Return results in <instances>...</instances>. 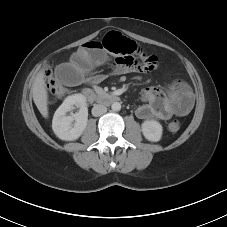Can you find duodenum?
<instances>
[{"label": "duodenum", "instance_id": "1", "mask_svg": "<svg viewBox=\"0 0 227 227\" xmlns=\"http://www.w3.org/2000/svg\"><path fill=\"white\" fill-rule=\"evenodd\" d=\"M83 97L89 103L110 104L119 101V96L112 93L97 92L93 89L86 88L82 92Z\"/></svg>", "mask_w": 227, "mask_h": 227}]
</instances>
